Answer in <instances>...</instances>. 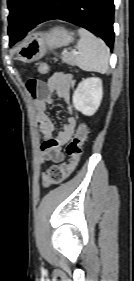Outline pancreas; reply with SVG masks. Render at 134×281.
<instances>
[{"label":"pancreas","mask_w":134,"mask_h":281,"mask_svg":"<svg viewBox=\"0 0 134 281\" xmlns=\"http://www.w3.org/2000/svg\"><path fill=\"white\" fill-rule=\"evenodd\" d=\"M62 61L69 65H75L76 61H77V57H76V55H74L72 53H63Z\"/></svg>","instance_id":"obj_1"}]
</instances>
